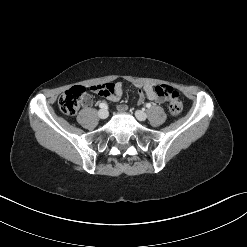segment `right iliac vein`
<instances>
[{"mask_svg": "<svg viewBox=\"0 0 247 247\" xmlns=\"http://www.w3.org/2000/svg\"><path fill=\"white\" fill-rule=\"evenodd\" d=\"M109 113L106 109H101L98 111V116L101 118V119H106L108 117Z\"/></svg>", "mask_w": 247, "mask_h": 247, "instance_id": "obj_1", "label": "right iliac vein"}]
</instances>
